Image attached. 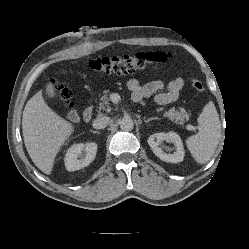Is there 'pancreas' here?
<instances>
[{"label": "pancreas", "mask_w": 249, "mask_h": 249, "mask_svg": "<svg viewBox=\"0 0 249 249\" xmlns=\"http://www.w3.org/2000/svg\"><path fill=\"white\" fill-rule=\"evenodd\" d=\"M103 94L104 95L100 98L98 109L109 112L111 111L109 93L108 91H104ZM156 110L157 112H162L163 108H157ZM163 116L179 125L184 124V122L188 121L190 118V115L187 113L186 109L182 107H179L177 110H175V108H170L168 111L163 112Z\"/></svg>", "instance_id": "obj_1"}]
</instances>
